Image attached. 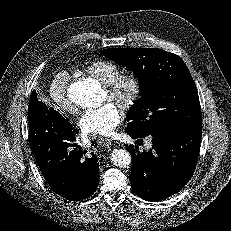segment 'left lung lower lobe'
Returning a JSON list of instances; mask_svg holds the SVG:
<instances>
[{"instance_id":"1","label":"left lung lower lobe","mask_w":231,"mask_h":231,"mask_svg":"<svg viewBox=\"0 0 231 231\" xmlns=\"http://www.w3.org/2000/svg\"><path fill=\"white\" fill-rule=\"evenodd\" d=\"M126 132L132 138L145 137ZM150 135L153 146L147 152L140 153L137 146H126L132 154L130 182L142 199L160 201L179 192L189 182L200 151L202 126Z\"/></svg>"}]
</instances>
